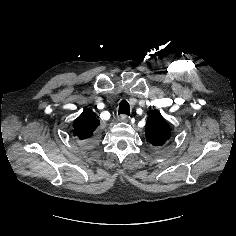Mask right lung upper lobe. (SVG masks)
I'll return each mask as SVG.
<instances>
[{
	"label": "right lung upper lobe",
	"mask_w": 236,
	"mask_h": 236,
	"mask_svg": "<svg viewBox=\"0 0 236 236\" xmlns=\"http://www.w3.org/2000/svg\"><path fill=\"white\" fill-rule=\"evenodd\" d=\"M99 120L90 109H85L82 114L73 122V134L79 139L89 138L99 125Z\"/></svg>",
	"instance_id": "1"
}]
</instances>
